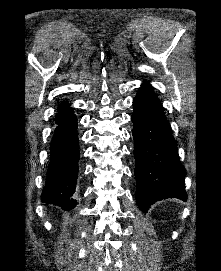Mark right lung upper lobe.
Instances as JSON below:
<instances>
[{"instance_id": "obj_1", "label": "right lung upper lobe", "mask_w": 221, "mask_h": 271, "mask_svg": "<svg viewBox=\"0 0 221 271\" xmlns=\"http://www.w3.org/2000/svg\"><path fill=\"white\" fill-rule=\"evenodd\" d=\"M65 104H67V102H62V103L60 104V106L65 105Z\"/></svg>"}]
</instances>
